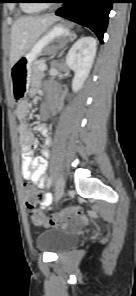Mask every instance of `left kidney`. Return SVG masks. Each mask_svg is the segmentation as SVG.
<instances>
[{
  "instance_id": "obj_1",
  "label": "left kidney",
  "mask_w": 136,
  "mask_h": 296,
  "mask_svg": "<svg viewBox=\"0 0 136 296\" xmlns=\"http://www.w3.org/2000/svg\"><path fill=\"white\" fill-rule=\"evenodd\" d=\"M97 50V42L91 36L77 40L66 56L67 66L75 72L72 90L79 91L92 68Z\"/></svg>"
}]
</instances>
